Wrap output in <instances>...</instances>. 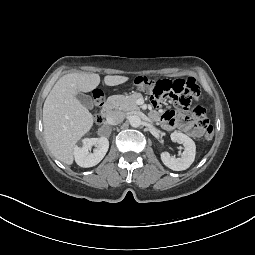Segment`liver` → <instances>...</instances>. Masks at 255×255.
Returning a JSON list of instances; mask_svg holds the SVG:
<instances>
[{
  "mask_svg": "<svg viewBox=\"0 0 255 255\" xmlns=\"http://www.w3.org/2000/svg\"><path fill=\"white\" fill-rule=\"evenodd\" d=\"M126 76H105L108 86L126 82ZM100 84L95 73H68L62 76L47 96L43 106L44 137L52 155L71 165L75 144L91 129L94 118L76 95L90 92Z\"/></svg>",
  "mask_w": 255,
  "mask_h": 255,
  "instance_id": "1",
  "label": "liver"
}]
</instances>
